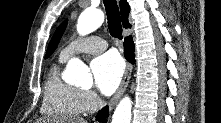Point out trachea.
I'll return each instance as SVG.
<instances>
[{
    "instance_id": "3493384b",
    "label": "trachea",
    "mask_w": 221,
    "mask_h": 123,
    "mask_svg": "<svg viewBox=\"0 0 221 123\" xmlns=\"http://www.w3.org/2000/svg\"><path fill=\"white\" fill-rule=\"evenodd\" d=\"M110 35L122 39V25L116 0H104Z\"/></svg>"
}]
</instances>
